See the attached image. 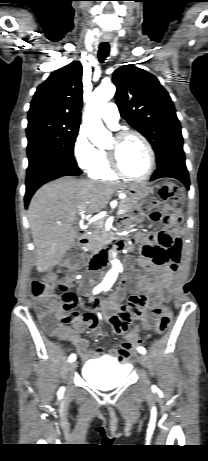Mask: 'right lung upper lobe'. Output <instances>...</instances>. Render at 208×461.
Wrapping results in <instances>:
<instances>
[{
	"label": "right lung upper lobe",
	"mask_w": 208,
	"mask_h": 461,
	"mask_svg": "<svg viewBox=\"0 0 208 461\" xmlns=\"http://www.w3.org/2000/svg\"><path fill=\"white\" fill-rule=\"evenodd\" d=\"M82 64L74 61L51 73L33 96L28 118L63 119L80 123L83 99Z\"/></svg>",
	"instance_id": "1"
}]
</instances>
